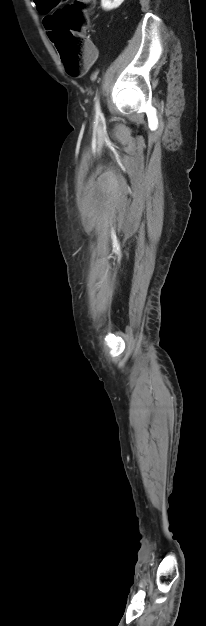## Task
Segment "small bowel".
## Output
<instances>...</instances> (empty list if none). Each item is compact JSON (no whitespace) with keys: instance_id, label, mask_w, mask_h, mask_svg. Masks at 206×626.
Instances as JSON below:
<instances>
[{"instance_id":"small-bowel-1","label":"small bowel","mask_w":206,"mask_h":626,"mask_svg":"<svg viewBox=\"0 0 206 626\" xmlns=\"http://www.w3.org/2000/svg\"><path fill=\"white\" fill-rule=\"evenodd\" d=\"M42 1H43V0H37V6L39 7V9H40V7H41V2H42ZM47 18H48V16L44 18V26H45V29L47 30V33H48L49 37H50V28H49V26L47 25Z\"/></svg>"}]
</instances>
